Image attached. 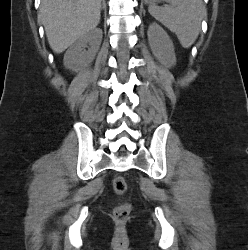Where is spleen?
I'll return each mask as SVG.
<instances>
[{
  "mask_svg": "<svg viewBox=\"0 0 248 250\" xmlns=\"http://www.w3.org/2000/svg\"><path fill=\"white\" fill-rule=\"evenodd\" d=\"M169 6H149L148 11L156 20L177 35L181 45L189 48L198 38L201 21L205 16L202 0H167Z\"/></svg>",
  "mask_w": 248,
  "mask_h": 250,
  "instance_id": "3e777b00",
  "label": "spleen"
}]
</instances>
